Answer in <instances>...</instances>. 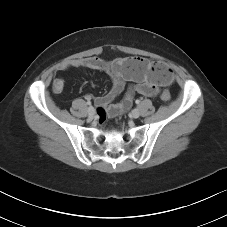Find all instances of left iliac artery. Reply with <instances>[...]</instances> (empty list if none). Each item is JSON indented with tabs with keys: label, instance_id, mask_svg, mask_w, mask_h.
<instances>
[{
	"label": "left iliac artery",
	"instance_id": "1",
	"mask_svg": "<svg viewBox=\"0 0 227 227\" xmlns=\"http://www.w3.org/2000/svg\"><path fill=\"white\" fill-rule=\"evenodd\" d=\"M135 103H136V104H139V103H140V100L137 99V100L135 101Z\"/></svg>",
	"mask_w": 227,
	"mask_h": 227
}]
</instances>
